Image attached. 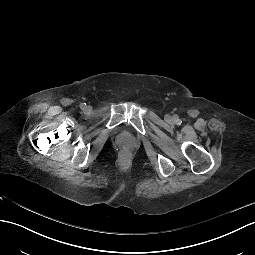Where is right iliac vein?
<instances>
[{"mask_svg":"<svg viewBox=\"0 0 255 255\" xmlns=\"http://www.w3.org/2000/svg\"><path fill=\"white\" fill-rule=\"evenodd\" d=\"M85 110H86V111H89V108H88V107H86V108H85Z\"/></svg>","mask_w":255,"mask_h":255,"instance_id":"63e3f726","label":"right iliac vein"}]
</instances>
